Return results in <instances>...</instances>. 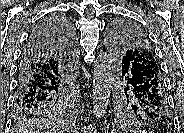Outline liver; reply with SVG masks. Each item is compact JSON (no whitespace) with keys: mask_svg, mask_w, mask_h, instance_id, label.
<instances>
[{"mask_svg":"<svg viewBox=\"0 0 184 133\" xmlns=\"http://www.w3.org/2000/svg\"><path fill=\"white\" fill-rule=\"evenodd\" d=\"M15 131L23 133H62L59 126L44 118L30 120Z\"/></svg>","mask_w":184,"mask_h":133,"instance_id":"1","label":"liver"}]
</instances>
